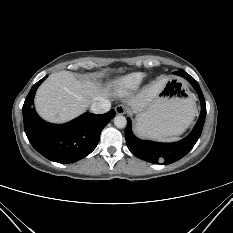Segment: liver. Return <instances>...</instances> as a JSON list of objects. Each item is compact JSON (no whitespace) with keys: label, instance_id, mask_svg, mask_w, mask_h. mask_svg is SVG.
Segmentation results:
<instances>
[{"label":"liver","instance_id":"obj_1","mask_svg":"<svg viewBox=\"0 0 233 233\" xmlns=\"http://www.w3.org/2000/svg\"><path fill=\"white\" fill-rule=\"evenodd\" d=\"M168 79L162 78L132 95L123 90L118 93L137 112L148 106L164 87ZM111 85L102 87L91 80L77 79L70 71L51 74L39 87L35 106L39 115L53 123L70 121L86 111L89 105L111 95Z\"/></svg>","mask_w":233,"mask_h":233}]
</instances>
